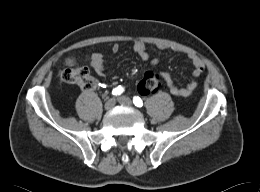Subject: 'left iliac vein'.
Returning <instances> with one entry per match:
<instances>
[{"mask_svg":"<svg viewBox=\"0 0 260 192\" xmlns=\"http://www.w3.org/2000/svg\"><path fill=\"white\" fill-rule=\"evenodd\" d=\"M118 102L122 105H125V106H131L132 105V101L129 97H126V96H120L118 98Z\"/></svg>","mask_w":260,"mask_h":192,"instance_id":"obj_1","label":"left iliac vein"}]
</instances>
